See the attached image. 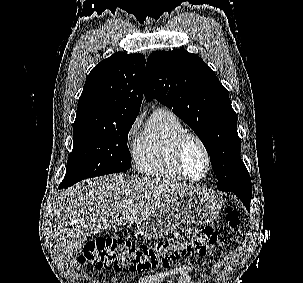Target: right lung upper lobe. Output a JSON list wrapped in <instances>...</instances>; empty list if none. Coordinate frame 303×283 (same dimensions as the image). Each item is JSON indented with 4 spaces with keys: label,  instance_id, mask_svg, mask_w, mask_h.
<instances>
[{
    "label": "right lung upper lobe",
    "instance_id": "obj_1",
    "mask_svg": "<svg viewBox=\"0 0 303 283\" xmlns=\"http://www.w3.org/2000/svg\"><path fill=\"white\" fill-rule=\"evenodd\" d=\"M145 57L118 52L86 78L74 123L119 124L135 120L143 99Z\"/></svg>",
    "mask_w": 303,
    "mask_h": 283
}]
</instances>
